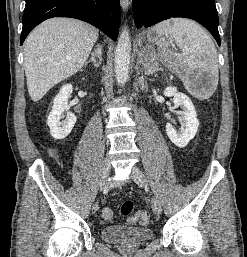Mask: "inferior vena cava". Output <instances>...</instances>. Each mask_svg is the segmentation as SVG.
<instances>
[{
	"mask_svg": "<svg viewBox=\"0 0 247 257\" xmlns=\"http://www.w3.org/2000/svg\"><path fill=\"white\" fill-rule=\"evenodd\" d=\"M98 49V55L101 56V48H97Z\"/></svg>",
	"mask_w": 247,
	"mask_h": 257,
	"instance_id": "obj_1",
	"label": "inferior vena cava"
}]
</instances>
